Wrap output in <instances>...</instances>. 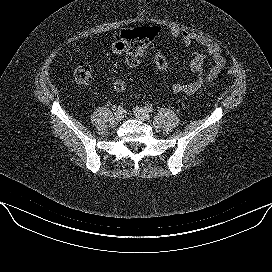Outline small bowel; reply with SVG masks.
I'll list each match as a JSON object with an SVG mask.
<instances>
[{"label": "small bowel", "instance_id": "c3829d8e", "mask_svg": "<svg viewBox=\"0 0 272 272\" xmlns=\"http://www.w3.org/2000/svg\"><path fill=\"white\" fill-rule=\"evenodd\" d=\"M169 35L175 39H181L185 46L197 43L202 51L195 52L190 59V68L197 73V77L191 82H175L171 86L174 94L193 95L204 89L215 80L225 66V58L221 46L202 36L178 29H170ZM111 50L115 54L125 56L126 63L131 68H137L142 60L149 54L150 48L134 36V29L121 31L119 37L111 43ZM210 58L211 67L207 70L205 61Z\"/></svg>", "mask_w": 272, "mask_h": 272}]
</instances>
